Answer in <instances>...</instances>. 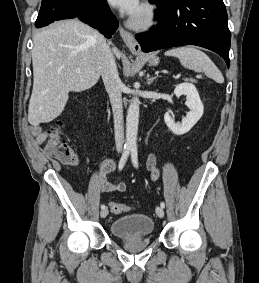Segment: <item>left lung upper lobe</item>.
I'll list each match as a JSON object with an SVG mask.
<instances>
[{"label":"left lung upper lobe","mask_w":259,"mask_h":283,"mask_svg":"<svg viewBox=\"0 0 259 283\" xmlns=\"http://www.w3.org/2000/svg\"><path fill=\"white\" fill-rule=\"evenodd\" d=\"M161 1V4H170L176 0H160Z\"/></svg>","instance_id":"1"}]
</instances>
